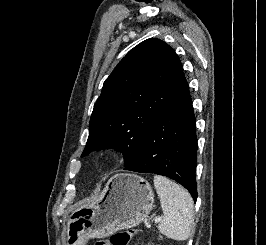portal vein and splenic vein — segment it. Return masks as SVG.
<instances>
[{"instance_id": "obj_1", "label": "portal vein and splenic vein", "mask_w": 266, "mask_h": 245, "mask_svg": "<svg viewBox=\"0 0 266 245\" xmlns=\"http://www.w3.org/2000/svg\"><path fill=\"white\" fill-rule=\"evenodd\" d=\"M162 217H156L155 219V223H159V221H161Z\"/></svg>"}]
</instances>
